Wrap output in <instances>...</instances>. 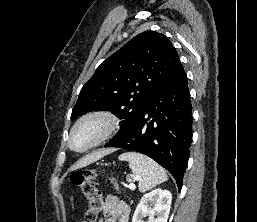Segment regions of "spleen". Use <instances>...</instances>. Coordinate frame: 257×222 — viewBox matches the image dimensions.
<instances>
[{"mask_svg": "<svg viewBox=\"0 0 257 222\" xmlns=\"http://www.w3.org/2000/svg\"><path fill=\"white\" fill-rule=\"evenodd\" d=\"M119 160L129 163V167L134 174V179L139 181L138 187L142 193L168 179L165 170L151 158L143 154L126 152L119 156Z\"/></svg>", "mask_w": 257, "mask_h": 222, "instance_id": "1", "label": "spleen"}]
</instances>
